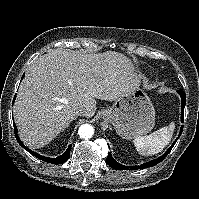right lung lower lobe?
I'll return each mask as SVG.
<instances>
[{"label": "right lung lower lobe", "instance_id": "obj_1", "mask_svg": "<svg viewBox=\"0 0 199 199\" xmlns=\"http://www.w3.org/2000/svg\"><path fill=\"white\" fill-rule=\"evenodd\" d=\"M24 77V75H23ZM22 77V78H23ZM15 99V98H14ZM14 132H15V137L18 141V143L23 147L25 148L28 152H30L33 156L45 161V162H48V163H52V164H62L64 163L65 161L68 160L69 156H70V150H71V144L69 145L68 149L60 156L56 157V158H49V157H45V156H41L39 155L38 153L28 149L27 147L24 146L23 142L19 139V136L17 134V127L16 125L14 124Z\"/></svg>", "mask_w": 199, "mask_h": 199}]
</instances>
